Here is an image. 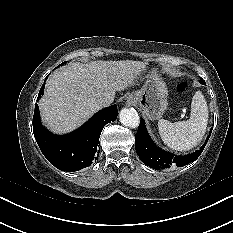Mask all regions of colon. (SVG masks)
I'll use <instances>...</instances> for the list:
<instances>
[{
  "label": "colon",
  "instance_id": "5ec220e1",
  "mask_svg": "<svg viewBox=\"0 0 233 233\" xmlns=\"http://www.w3.org/2000/svg\"><path fill=\"white\" fill-rule=\"evenodd\" d=\"M178 91H185L187 89V83L186 82H181L177 85Z\"/></svg>",
  "mask_w": 233,
  "mask_h": 233
}]
</instances>
